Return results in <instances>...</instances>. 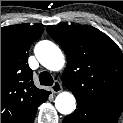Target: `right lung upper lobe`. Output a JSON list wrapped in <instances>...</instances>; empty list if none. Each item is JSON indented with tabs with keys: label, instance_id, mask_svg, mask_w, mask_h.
Instances as JSON below:
<instances>
[{
	"label": "right lung upper lobe",
	"instance_id": "1",
	"mask_svg": "<svg viewBox=\"0 0 123 123\" xmlns=\"http://www.w3.org/2000/svg\"><path fill=\"white\" fill-rule=\"evenodd\" d=\"M43 27L1 28V123H27L50 92L38 89L28 66V50Z\"/></svg>",
	"mask_w": 123,
	"mask_h": 123
}]
</instances>
